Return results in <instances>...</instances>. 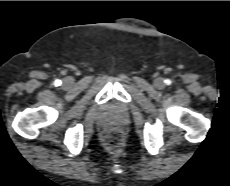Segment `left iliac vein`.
<instances>
[{"mask_svg":"<svg viewBox=\"0 0 230 186\" xmlns=\"http://www.w3.org/2000/svg\"><path fill=\"white\" fill-rule=\"evenodd\" d=\"M164 80L162 79V78H157V79H155V81H154V86L156 87V88H159V89H161V88H163L164 87Z\"/></svg>","mask_w":230,"mask_h":186,"instance_id":"4c4485c4","label":"left iliac vein"}]
</instances>
